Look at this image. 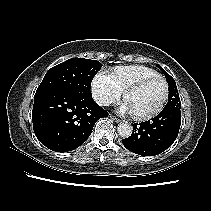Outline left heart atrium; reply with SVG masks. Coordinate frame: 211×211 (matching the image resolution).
<instances>
[{
    "label": "left heart atrium",
    "mask_w": 211,
    "mask_h": 211,
    "mask_svg": "<svg viewBox=\"0 0 211 211\" xmlns=\"http://www.w3.org/2000/svg\"><path fill=\"white\" fill-rule=\"evenodd\" d=\"M119 111L121 113H132L131 108L129 106V104L127 103V101L125 100L124 102L121 103L120 107H119Z\"/></svg>",
    "instance_id": "left-heart-atrium-1"
}]
</instances>
